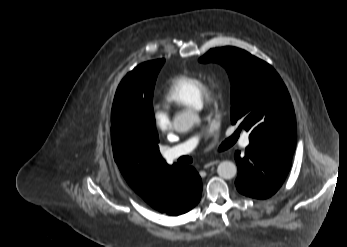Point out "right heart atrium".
Wrapping results in <instances>:
<instances>
[{
    "instance_id": "right-heart-atrium-1",
    "label": "right heart atrium",
    "mask_w": 347,
    "mask_h": 247,
    "mask_svg": "<svg viewBox=\"0 0 347 247\" xmlns=\"http://www.w3.org/2000/svg\"><path fill=\"white\" fill-rule=\"evenodd\" d=\"M153 121L157 129H159L162 132H168L172 128L171 117L164 110H155L153 113Z\"/></svg>"
}]
</instances>
